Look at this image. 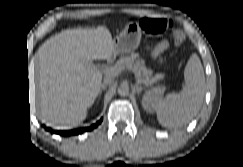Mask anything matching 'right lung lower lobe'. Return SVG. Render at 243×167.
<instances>
[{
  "mask_svg": "<svg viewBox=\"0 0 243 167\" xmlns=\"http://www.w3.org/2000/svg\"><path fill=\"white\" fill-rule=\"evenodd\" d=\"M102 119L99 120L96 124H93L90 127H86L83 129H76V130H70V131H55V133L60 134V135H77V134H81L84 131H90L94 128H96L100 123H101Z\"/></svg>",
  "mask_w": 243,
  "mask_h": 167,
  "instance_id": "1",
  "label": "right lung lower lobe"
}]
</instances>
